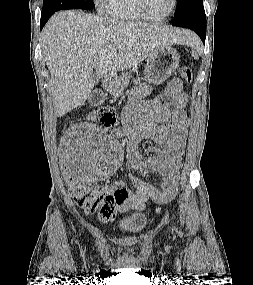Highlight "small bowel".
<instances>
[{
    "label": "small bowel",
    "instance_id": "c3829d8e",
    "mask_svg": "<svg viewBox=\"0 0 253 285\" xmlns=\"http://www.w3.org/2000/svg\"><path fill=\"white\" fill-rule=\"evenodd\" d=\"M148 84L139 85L130 94V104L123 114L118 109H101L100 122L103 126H120L114 136L124 140L127 152V166L141 173H158L163 180L159 185L152 184L133 174L120 179L115 187L129 185L128 199L119 206L143 209L149 201L158 204L170 202L180 185L179 170L182 166L183 149L186 143L188 116L184 106L188 96L182 90L179 79L172 80L163 94L151 101L143 98L150 92ZM131 122L133 126H131ZM141 139H150L155 145L150 154L138 148ZM74 149V148H73Z\"/></svg>",
    "mask_w": 253,
    "mask_h": 285
}]
</instances>
